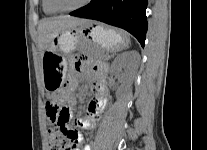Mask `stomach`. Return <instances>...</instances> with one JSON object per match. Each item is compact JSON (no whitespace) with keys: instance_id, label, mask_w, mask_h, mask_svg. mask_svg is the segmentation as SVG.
Listing matches in <instances>:
<instances>
[{"instance_id":"1","label":"stomach","mask_w":207,"mask_h":150,"mask_svg":"<svg viewBox=\"0 0 207 150\" xmlns=\"http://www.w3.org/2000/svg\"><path fill=\"white\" fill-rule=\"evenodd\" d=\"M84 44L88 45L89 49L85 50ZM128 44L129 37L126 33L94 22L55 35L43 53L45 87L54 90L64 84L66 57L75 49H84L91 59L104 61L105 53L116 52L127 47Z\"/></svg>"}]
</instances>
